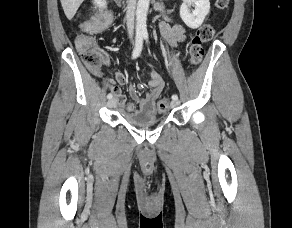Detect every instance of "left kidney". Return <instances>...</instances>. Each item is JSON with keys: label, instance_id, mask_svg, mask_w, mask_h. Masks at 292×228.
I'll return each mask as SVG.
<instances>
[{"label": "left kidney", "instance_id": "left-kidney-1", "mask_svg": "<svg viewBox=\"0 0 292 228\" xmlns=\"http://www.w3.org/2000/svg\"><path fill=\"white\" fill-rule=\"evenodd\" d=\"M191 6L195 7L193 11H190ZM209 11V0H184L180 7V17L188 27L196 29L202 25Z\"/></svg>", "mask_w": 292, "mask_h": 228}]
</instances>
